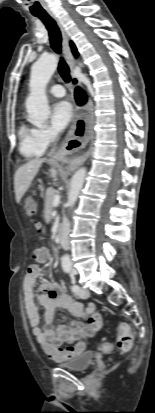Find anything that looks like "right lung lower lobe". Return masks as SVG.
I'll list each match as a JSON object with an SVG mask.
<instances>
[{"label":"right lung lower lobe","instance_id":"right-lung-lower-lobe-1","mask_svg":"<svg viewBox=\"0 0 155 413\" xmlns=\"http://www.w3.org/2000/svg\"><path fill=\"white\" fill-rule=\"evenodd\" d=\"M75 98H76L78 105H82L86 102V95L80 88L76 89Z\"/></svg>","mask_w":155,"mask_h":413}]
</instances>
